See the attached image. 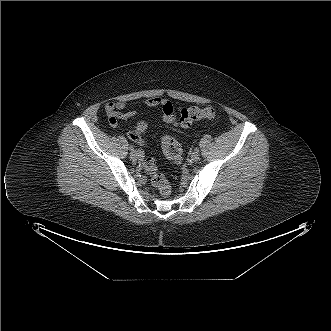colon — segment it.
<instances>
[{"label": "colon", "instance_id": "colon-1", "mask_svg": "<svg viewBox=\"0 0 331 331\" xmlns=\"http://www.w3.org/2000/svg\"><path fill=\"white\" fill-rule=\"evenodd\" d=\"M218 112L212 107L199 108L195 106L183 108L180 112V122L185 126H190L192 123L201 120L218 119ZM145 130V124L139 123L136 127V132L142 134ZM161 147L166 158L176 166L183 163V151L180 143L170 135H164L161 139ZM145 171L150 175L152 184L159 190L163 197H169L171 187L166 177L157 170L155 161L152 158H145L143 161Z\"/></svg>", "mask_w": 331, "mask_h": 331}]
</instances>
